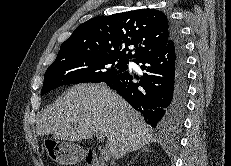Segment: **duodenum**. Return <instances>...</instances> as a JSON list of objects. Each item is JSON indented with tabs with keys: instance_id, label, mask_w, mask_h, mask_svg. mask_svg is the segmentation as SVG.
Listing matches in <instances>:
<instances>
[{
	"instance_id": "obj_1",
	"label": "duodenum",
	"mask_w": 231,
	"mask_h": 166,
	"mask_svg": "<svg viewBox=\"0 0 231 166\" xmlns=\"http://www.w3.org/2000/svg\"><path fill=\"white\" fill-rule=\"evenodd\" d=\"M84 163L87 166H102V159L97 153L87 151L84 157Z\"/></svg>"
}]
</instances>
